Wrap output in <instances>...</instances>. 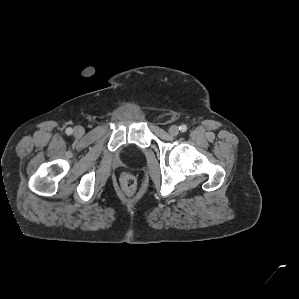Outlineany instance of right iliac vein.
<instances>
[{"label":"right iliac vein","mask_w":299,"mask_h":299,"mask_svg":"<svg viewBox=\"0 0 299 299\" xmlns=\"http://www.w3.org/2000/svg\"><path fill=\"white\" fill-rule=\"evenodd\" d=\"M73 133L76 137H81V136L84 135L85 130L82 126H77V127L74 128Z\"/></svg>","instance_id":"63e3f726"}]
</instances>
